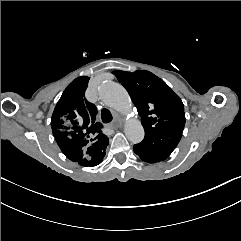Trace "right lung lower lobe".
I'll return each instance as SVG.
<instances>
[{
    "mask_svg": "<svg viewBox=\"0 0 241 241\" xmlns=\"http://www.w3.org/2000/svg\"><path fill=\"white\" fill-rule=\"evenodd\" d=\"M104 156H105V151H104ZM104 156H103V157H104ZM103 157H102L101 161H100V162H99L98 164H100V163L102 162V160H103ZM98 164H97V165H98ZM95 166H96V165H95Z\"/></svg>",
    "mask_w": 241,
    "mask_h": 241,
    "instance_id": "98d812e1",
    "label": "right lung lower lobe"
}]
</instances>
